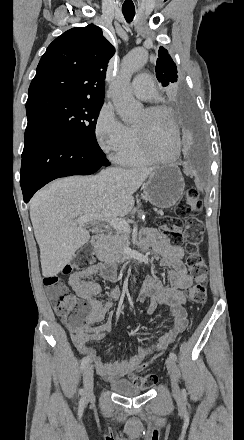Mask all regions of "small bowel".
<instances>
[{"label": "small bowel", "mask_w": 244, "mask_h": 440, "mask_svg": "<svg viewBox=\"0 0 244 440\" xmlns=\"http://www.w3.org/2000/svg\"><path fill=\"white\" fill-rule=\"evenodd\" d=\"M140 242L143 248H152L156 253L158 265L167 269L166 276L169 284L165 285L156 275L148 274L142 282L137 301L141 303L148 301L147 312L150 314L154 313L159 305L165 306L173 316V325L154 344L147 345L145 348L141 347L137 354L127 360L113 364L103 362L97 351L89 345L91 342H101L106 339L107 333L112 329L111 320L101 325L96 326V324L104 320L114 302L118 301L121 296L118 288H111L105 299L98 298L102 293V288L91 278L99 276L105 282H114L116 279L114 270L103 264H95L75 271L69 277L71 289L80 300H86L87 306L92 308V315L87 316L89 326L85 327V335L81 338L71 337V340L81 355L84 353L90 355L88 362L106 381L123 379L149 366L154 358L164 352L188 326L184 290L192 285L193 278L183 263L184 249L170 243L160 231L154 228L143 229Z\"/></svg>", "instance_id": "c3829d8e"}]
</instances>
